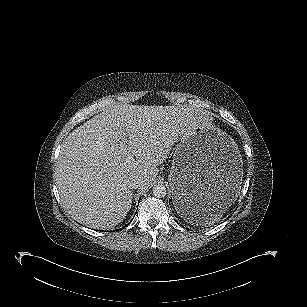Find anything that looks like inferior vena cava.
Listing matches in <instances>:
<instances>
[{
    "label": "inferior vena cava",
    "mask_w": 307,
    "mask_h": 307,
    "mask_svg": "<svg viewBox=\"0 0 307 307\" xmlns=\"http://www.w3.org/2000/svg\"><path fill=\"white\" fill-rule=\"evenodd\" d=\"M141 180H139V179H133V180H131L129 183H128V187L130 188V189H137V188H139L140 186H141Z\"/></svg>",
    "instance_id": "1"
}]
</instances>
